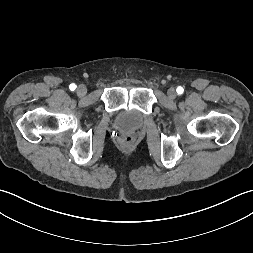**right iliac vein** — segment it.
Returning <instances> with one entry per match:
<instances>
[{"mask_svg": "<svg viewBox=\"0 0 253 253\" xmlns=\"http://www.w3.org/2000/svg\"><path fill=\"white\" fill-rule=\"evenodd\" d=\"M76 92L78 96L82 97L87 93V88L85 85H79Z\"/></svg>", "mask_w": 253, "mask_h": 253, "instance_id": "right-iliac-vein-1", "label": "right iliac vein"}]
</instances>
